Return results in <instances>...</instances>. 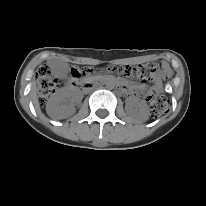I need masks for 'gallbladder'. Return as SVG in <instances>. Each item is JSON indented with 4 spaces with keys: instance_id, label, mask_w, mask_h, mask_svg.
I'll list each match as a JSON object with an SVG mask.
<instances>
[{
    "instance_id": "obj_1",
    "label": "gallbladder",
    "mask_w": 206,
    "mask_h": 206,
    "mask_svg": "<svg viewBox=\"0 0 206 206\" xmlns=\"http://www.w3.org/2000/svg\"><path fill=\"white\" fill-rule=\"evenodd\" d=\"M52 73L55 77H65L69 71V66L65 62L50 61L49 63Z\"/></svg>"
}]
</instances>
